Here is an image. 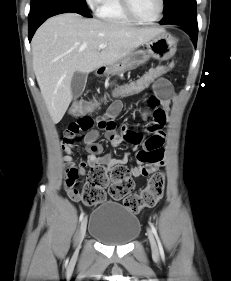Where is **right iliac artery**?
Wrapping results in <instances>:
<instances>
[{
    "instance_id": "1",
    "label": "right iliac artery",
    "mask_w": 231,
    "mask_h": 281,
    "mask_svg": "<svg viewBox=\"0 0 231 281\" xmlns=\"http://www.w3.org/2000/svg\"><path fill=\"white\" fill-rule=\"evenodd\" d=\"M83 216H84V213L82 212V213L80 214V218H79L80 221H82Z\"/></svg>"
}]
</instances>
